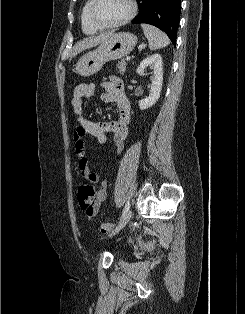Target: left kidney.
I'll return each mask as SVG.
<instances>
[{"label": "left kidney", "instance_id": "5707ae66", "mask_svg": "<svg viewBox=\"0 0 245 314\" xmlns=\"http://www.w3.org/2000/svg\"><path fill=\"white\" fill-rule=\"evenodd\" d=\"M162 64V57L159 54H154L144 59L137 68V73H142L147 67L153 69L150 94L145 99L139 101L141 110L152 107L160 97L163 83Z\"/></svg>", "mask_w": 245, "mask_h": 314}]
</instances>
